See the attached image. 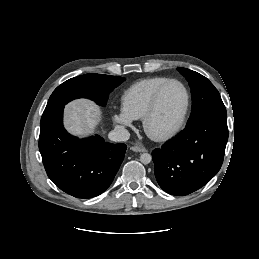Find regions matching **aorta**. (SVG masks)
<instances>
[{"label": "aorta", "mask_w": 259, "mask_h": 259, "mask_svg": "<svg viewBox=\"0 0 259 259\" xmlns=\"http://www.w3.org/2000/svg\"><path fill=\"white\" fill-rule=\"evenodd\" d=\"M151 160H152V157L149 153H143L140 156V161L143 164H149L151 162Z\"/></svg>", "instance_id": "obj_1"}]
</instances>
